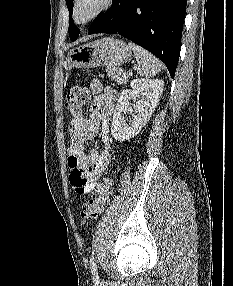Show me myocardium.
<instances>
[{
	"mask_svg": "<svg viewBox=\"0 0 233 286\" xmlns=\"http://www.w3.org/2000/svg\"><path fill=\"white\" fill-rule=\"evenodd\" d=\"M80 2H81V0H74L73 1L71 16H72V20L74 21L75 24L85 25V24H88L91 21L95 20L97 17L102 15L107 10H109L113 5L114 0H102L101 6L99 7V9L95 13H93L91 16H89L88 18H86L84 20H78L77 14H76L77 7H78Z\"/></svg>",
	"mask_w": 233,
	"mask_h": 286,
	"instance_id": "f54148a6",
	"label": "myocardium"
}]
</instances>
